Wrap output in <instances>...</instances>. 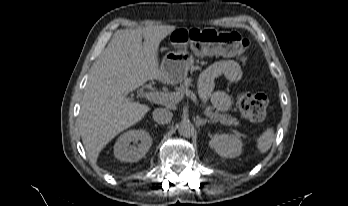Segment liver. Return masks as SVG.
<instances>
[{
	"instance_id": "1",
	"label": "liver",
	"mask_w": 348,
	"mask_h": 206,
	"mask_svg": "<svg viewBox=\"0 0 348 206\" xmlns=\"http://www.w3.org/2000/svg\"><path fill=\"white\" fill-rule=\"evenodd\" d=\"M175 29L159 25L124 30L114 36L93 65L79 114V131L92 163L114 137L150 110L127 95L148 80H163L158 47Z\"/></svg>"
}]
</instances>
